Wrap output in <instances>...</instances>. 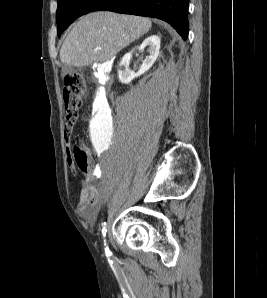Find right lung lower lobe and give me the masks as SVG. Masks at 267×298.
<instances>
[{"label": "right lung lower lobe", "mask_w": 267, "mask_h": 298, "mask_svg": "<svg viewBox=\"0 0 267 298\" xmlns=\"http://www.w3.org/2000/svg\"><path fill=\"white\" fill-rule=\"evenodd\" d=\"M153 17L173 26L186 40L188 35V0H99L92 10Z\"/></svg>", "instance_id": "98d812e1"}]
</instances>
